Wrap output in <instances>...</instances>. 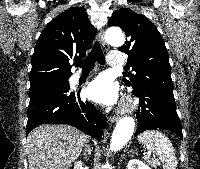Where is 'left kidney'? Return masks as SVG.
Masks as SVG:
<instances>
[{
    "label": "left kidney",
    "mask_w": 200,
    "mask_h": 169,
    "mask_svg": "<svg viewBox=\"0 0 200 169\" xmlns=\"http://www.w3.org/2000/svg\"><path fill=\"white\" fill-rule=\"evenodd\" d=\"M127 169H151V168L140 160L132 159L128 161Z\"/></svg>",
    "instance_id": "obj_1"
}]
</instances>
